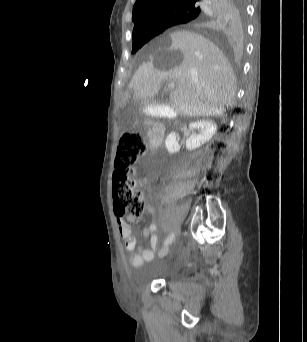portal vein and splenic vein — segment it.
<instances>
[{
  "mask_svg": "<svg viewBox=\"0 0 307 342\" xmlns=\"http://www.w3.org/2000/svg\"><path fill=\"white\" fill-rule=\"evenodd\" d=\"M169 88H175V82H171V84H169Z\"/></svg>",
  "mask_w": 307,
  "mask_h": 342,
  "instance_id": "portal-vein-and-splenic-vein-1",
  "label": "portal vein and splenic vein"
}]
</instances>
